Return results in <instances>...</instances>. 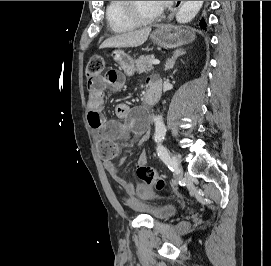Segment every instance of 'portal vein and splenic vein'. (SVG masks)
Here are the masks:
<instances>
[{
	"instance_id": "18ae733b",
	"label": "portal vein and splenic vein",
	"mask_w": 271,
	"mask_h": 266,
	"mask_svg": "<svg viewBox=\"0 0 271 266\" xmlns=\"http://www.w3.org/2000/svg\"><path fill=\"white\" fill-rule=\"evenodd\" d=\"M151 64H152V65H159V64H160V61H159V60H156V59H153V60L151 61Z\"/></svg>"
}]
</instances>
